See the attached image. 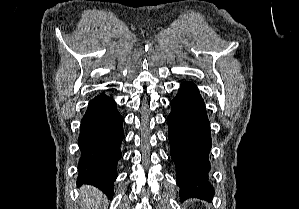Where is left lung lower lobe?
Wrapping results in <instances>:
<instances>
[{"mask_svg": "<svg viewBox=\"0 0 299 209\" xmlns=\"http://www.w3.org/2000/svg\"><path fill=\"white\" fill-rule=\"evenodd\" d=\"M170 104L168 138L180 199L210 200L214 194L208 182L212 140L204 101L193 83L184 82Z\"/></svg>", "mask_w": 299, "mask_h": 209, "instance_id": "1", "label": "left lung lower lobe"}]
</instances>
